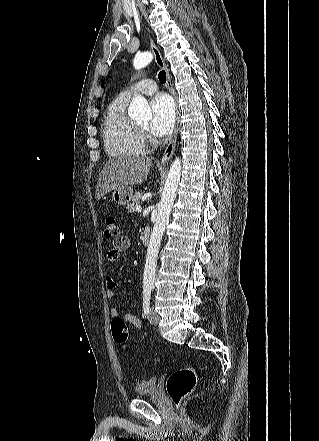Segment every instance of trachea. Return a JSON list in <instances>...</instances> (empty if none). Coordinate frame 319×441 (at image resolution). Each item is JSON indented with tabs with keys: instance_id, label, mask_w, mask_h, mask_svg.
Listing matches in <instances>:
<instances>
[{
	"instance_id": "3493384b",
	"label": "trachea",
	"mask_w": 319,
	"mask_h": 441,
	"mask_svg": "<svg viewBox=\"0 0 319 441\" xmlns=\"http://www.w3.org/2000/svg\"><path fill=\"white\" fill-rule=\"evenodd\" d=\"M158 78L161 83H165L166 82V72L160 71L158 74Z\"/></svg>"
}]
</instances>
